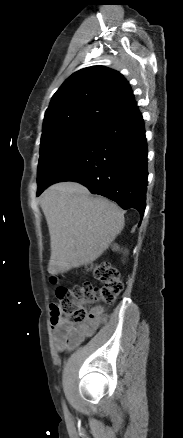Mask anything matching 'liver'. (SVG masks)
I'll list each match as a JSON object with an SVG mask.
<instances>
[{
  "label": "liver",
  "instance_id": "obj_1",
  "mask_svg": "<svg viewBox=\"0 0 183 438\" xmlns=\"http://www.w3.org/2000/svg\"><path fill=\"white\" fill-rule=\"evenodd\" d=\"M40 203L50 233L52 275L92 263L124 228V213L117 204L92 196L76 182L50 186Z\"/></svg>",
  "mask_w": 183,
  "mask_h": 438
}]
</instances>
